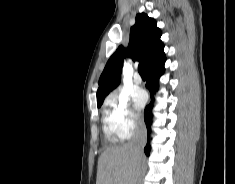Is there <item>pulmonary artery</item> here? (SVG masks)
<instances>
[{
	"mask_svg": "<svg viewBox=\"0 0 235 184\" xmlns=\"http://www.w3.org/2000/svg\"><path fill=\"white\" fill-rule=\"evenodd\" d=\"M133 82L137 85H140L142 83V78H141V76L139 75L138 72H135L133 74Z\"/></svg>",
	"mask_w": 235,
	"mask_h": 184,
	"instance_id": "pulmonary-artery-1",
	"label": "pulmonary artery"
}]
</instances>
